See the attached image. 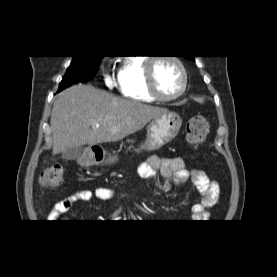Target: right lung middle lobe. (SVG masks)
Instances as JSON below:
<instances>
[{
	"instance_id": "right-lung-middle-lobe-1",
	"label": "right lung middle lobe",
	"mask_w": 277,
	"mask_h": 277,
	"mask_svg": "<svg viewBox=\"0 0 277 277\" xmlns=\"http://www.w3.org/2000/svg\"><path fill=\"white\" fill-rule=\"evenodd\" d=\"M98 57H77L73 56L71 65L60 82L58 91L78 82H86L93 78L98 71L101 59Z\"/></svg>"
}]
</instances>
